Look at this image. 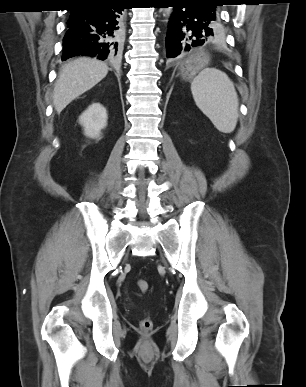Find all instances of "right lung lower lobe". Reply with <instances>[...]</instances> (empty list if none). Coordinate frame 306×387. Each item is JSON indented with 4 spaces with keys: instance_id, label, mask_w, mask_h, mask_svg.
Here are the masks:
<instances>
[{
    "instance_id": "1",
    "label": "right lung lower lobe",
    "mask_w": 306,
    "mask_h": 387,
    "mask_svg": "<svg viewBox=\"0 0 306 387\" xmlns=\"http://www.w3.org/2000/svg\"><path fill=\"white\" fill-rule=\"evenodd\" d=\"M125 5L123 0H106L71 10L72 23L67 25L63 39L62 60L78 55L116 58L122 43Z\"/></svg>"
}]
</instances>
